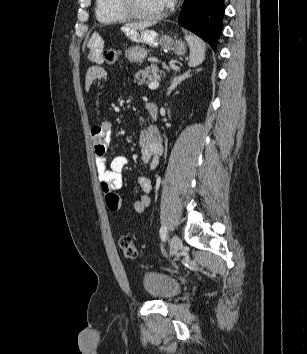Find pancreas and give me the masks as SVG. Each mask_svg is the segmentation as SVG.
I'll return each mask as SVG.
<instances>
[{"mask_svg":"<svg viewBox=\"0 0 307 354\" xmlns=\"http://www.w3.org/2000/svg\"><path fill=\"white\" fill-rule=\"evenodd\" d=\"M159 77V68L157 67V65L153 64L150 67L137 71L134 74V82L140 86L151 83Z\"/></svg>","mask_w":307,"mask_h":354,"instance_id":"obj_1","label":"pancreas"}]
</instances>
